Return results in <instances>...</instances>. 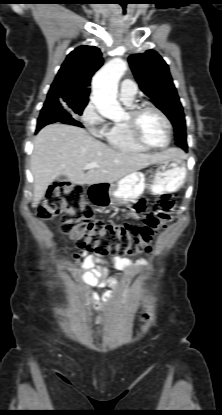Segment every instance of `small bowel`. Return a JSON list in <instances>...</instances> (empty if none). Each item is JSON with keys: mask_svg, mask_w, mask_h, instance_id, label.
<instances>
[{"mask_svg": "<svg viewBox=\"0 0 222 415\" xmlns=\"http://www.w3.org/2000/svg\"><path fill=\"white\" fill-rule=\"evenodd\" d=\"M77 256L83 259L84 269L98 267V269L88 270L85 273V281L91 286H102L107 283L106 272L109 266L114 265L118 269H126L131 265V261L125 258L89 254L86 251H80ZM91 297L94 307L101 309L110 300L111 293H107L103 297L93 293ZM96 321L100 322L101 317H97Z\"/></svg>", "mask_w": 222, "mask_h": 415, "instance_id": "c3829d8e", "label": "small bowel"}]
</instances>
